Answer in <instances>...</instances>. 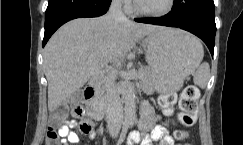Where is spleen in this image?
Instances as JSON below:
<instances>
[{"instance_id": "spleen-1", "label": "spleen", "mask_w": 243, "mask_h": 145, "mask_svg": "<svg viewBox=\"0 0 243 145\" xmlns=\"http://www.w3.org/2000/svg\"><path fill=\"white\" fill-rule=\"evenodd\" d=\"M203 58V48L200 50L199 61L197 65V70L193 75L194 83L199 86L201 89L206 88L208 80L210 78V66L207 62L200 64Z\"/></svg>"}]
</instances>
